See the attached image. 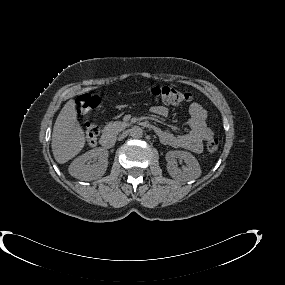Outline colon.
<instances>
[{
	"label": "colon",
	"instance_id": "1",
	"mask_svg": "<svg viewBox=\"0 0 285 285\" xmlns=\"http://www.w3.org/2000/svg\"><path fill=\"white\" fill-rule=\"evenodd\" d=\"M153 94L161 96L165 102L180 104L187 103L192 100L191 93L181 92L173 87H161L153 89ZM79 111L85 113L90 109H94L99 105V99L96 96L89 94L81 95L78 98ZM86 132L88 136V141L90 144H95L98 135V127L93 123H86ZM216 142V144H214ZM218 149V140L212 139L208 143V150L210 152H215Z\"/></svg>",
	"mask_w": 285,
	"mask_h": 285
}]
</instances>
